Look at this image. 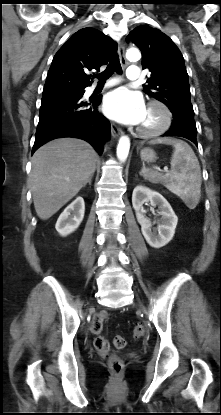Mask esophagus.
Returning <instances> with one entry per match:
<instances>
[{
    "instance_id": "obj_1",
    "label": "esophagus",
    "mask_w": 221,
    "mask_h": 415,
    "mask_svg": "<svg viewBox=\"0 0 221 415\" xmlns=\"http://www.w3.org/2000/svg\"><path fill=\"white\" fill-rule=\"evenodd\" d=\"M118 55H119L121 63L123 65H126L127 60L125 58V46L123 43H120L118 46ZM111 133L114 138H117L123 134V131L120 128H118L116 125L111 124Z\"/></svg>"
}]
</instances>
